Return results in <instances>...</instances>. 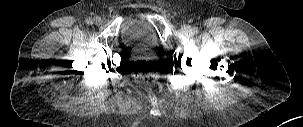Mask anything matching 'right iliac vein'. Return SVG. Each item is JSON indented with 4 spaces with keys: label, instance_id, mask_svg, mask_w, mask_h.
Returning <instances> with one entry per match:
<instances>
[{
    "label": "right iliac vein",
    "instance_id": "1",
    "mask_svg": "<svg viewBox=\"0 0 303 127\" xmlns=\"http://www.w3.org/2000/svg\"><path fill=\"white\" fill-rule=\"evenodd\" d=\"M93 21L96 25H101L102 24V19L99 16L95 17Z\"/></svg>",
    "mask_w": 303,
    "mask_h": 127
}]
</instances>
